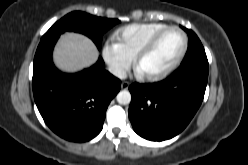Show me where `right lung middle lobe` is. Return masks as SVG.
<instances>
[{
  "label": "right lung middle lobe",
  "instance_id": "dd1d6c3e",
  "mask_svg": "<svg viewBox=\"0 0 248 165\" xmlns=\"http://www.w3.org/2000/svg\"><path fill=\"white\" fill-rule=\"evenodd\" d=\"M119 22L118 19L101 18L84 12L74 11L53 24L43 35L41 41L52 37H58L65 31H74L87 35L93 40L98 49H100L102 35Z\"/></svg>",
  "mask_w": 248,
  "mask_h": 165
}]
</instances>
